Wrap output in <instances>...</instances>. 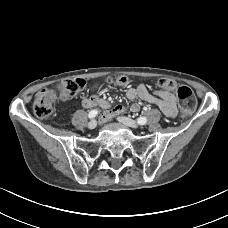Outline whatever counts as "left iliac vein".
<instances>
[{
    "instance_id": "obj_1",
    "label": "left iliac vein",
    "mask_w": 228,
    "mask_h": 228,
    "mask_svg": "<svg viewBox=\"0 0 228 228\" xmlns=\"http://www.w3.org/2000/svg\"><path fill=\"white\" fill-rule=\"evenodd\" d=\"M118 121L123 123L126 126H129L131 128H138L139 125L136 121L130 119V118H126V117H118Z\"/></svg>"
}]
</instances>
